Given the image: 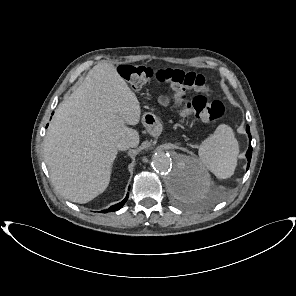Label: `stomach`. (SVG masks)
Returning a JSON list of instances; mask_svg holds the SVG:
<instances>
[{"mask_svg": "<svg viewBox=\"0 0 296 296\" xmlns=\"http://www.w3.org/2000/svg\"><path fill=\"white\" fill-rule=\"evenodd\" d=\"M142 121L148 131L154 134L157 138H162L164 136V131L161 129V124L154 114L145 113L143 115Z\"/></svg>", "mask_w": 296, "mask_h": 296, "instance_id": "obj_1", "label": "stomach"}]
</instances>
